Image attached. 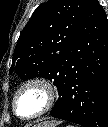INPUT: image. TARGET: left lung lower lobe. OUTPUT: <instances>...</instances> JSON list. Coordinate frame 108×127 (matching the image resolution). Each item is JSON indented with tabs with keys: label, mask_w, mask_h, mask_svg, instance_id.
<instances>
[{
	"label": "left lung lower lobe",
	"mask_w": 108,
	"mask_h": 127,
	"mask_svg": "<svg viewBox=\"0 0 108 127\" xmlns=\"http://www.w3.org/2000/svg\"><path fill=\"white\" fill-rule=\"evenodd\" d=\"M63 70L51 116L83 127H108V20L97 0L88 2Z\"/></svg>",
	"instance_id": "1"
}]
</instances>
